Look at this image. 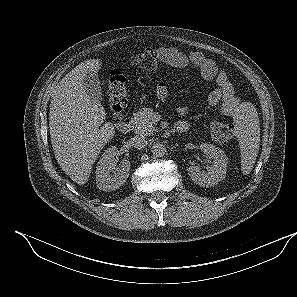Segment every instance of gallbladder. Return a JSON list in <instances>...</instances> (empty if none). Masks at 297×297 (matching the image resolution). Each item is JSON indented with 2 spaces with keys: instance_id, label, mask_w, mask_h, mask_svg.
I'll return each instance as SVG.
<instances>
[{
  "instance_id": "1",
  "label": "gallbladder",
  "mask_w": 297,
  "mask_h": 297,
  "mask_svg": "<svg viewBox=\"0 0 297 297\" xmlns=\"http://www.w3.org/2000/svg\"><path fill=\"white\" fill-rule=\"evenodd\" d=\"M83 87L91 100L100 103L102 99V89L97 73L88 72L83 78Z\"/></svg>"
}]
</instances>
